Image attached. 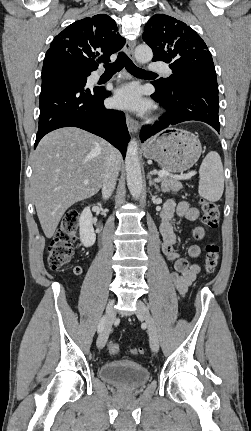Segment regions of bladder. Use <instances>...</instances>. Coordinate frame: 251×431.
<instances>
[{
	"label": "bladder",
	"mask_w": 251,
	"mask_h": 431,
	"mask_svg": "<svg viewBox=\"0 0 251 431\" xmlns=\"http://www.w3.org/2000/svg\"><path fill=\"white\" fill-rule=\"evenodd\" d=\"M102 380L123 390L138 388L148 382L150 372L144 366L129 360H113L99 368Z\"/></svg>",
	"instance_id": "obj_1"
}]
</instances>
